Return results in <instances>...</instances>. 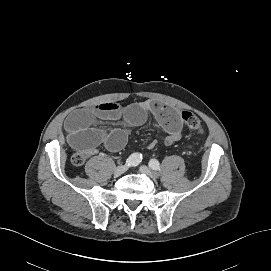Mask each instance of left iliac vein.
I'll use <instances>...</instances> for the list:
<instances>
[{
	"instance_id": "4c4485c4",
	"label": "left iliac vein",
	"mask_w": 271,
	"mask_h": 271,
	"mask_svg": "<svg viewBox=\"0 0 271 271\" xmlns=\"http://www.w3.org/2000/svg\"><path fill=\"white\" fill-rule=\"evenodd\" d=\"M140 172L146 174L148 177H150L152 180L156 179V174L147 166H141Z\"/></svg>"
}]
</instances>
